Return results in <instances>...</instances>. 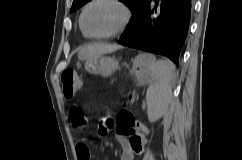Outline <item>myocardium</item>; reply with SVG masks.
Wrapping results in <instances>:
<instances>
[{"instance_id": "1", "label": "myocardium", "mask_w": 242, "mask_h": 160, "mask_svg": "<svg viewBox=\"0 0 242 160\" xmlns=\"http://www.w3.org/2000/svg\"><path fill=\"white\" fill-rule=\"evenodd\" d=\"M99 2H110L113 3L115 5H117L123 12V21L121 23V25L109 32V33H105V34H93L91 32H89L85 26L84 23V17L86 14V11L94 4L99 3ZM131 17H132V13L130 8L128 7V5L123 1V0H90L82 9L81 14H80V18H79V23H80V27L82 29V31L90 38H94V39H109V38H113L115 36H118L120 34H122L127 27L129 26V23L131 21Z\"/></svg>"}]
</instances>
